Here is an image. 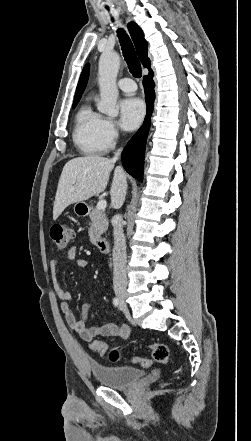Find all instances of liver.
I'll list each match as a JSON object with an SVG mask.
<instances>
[{"mask_svg": "<svg viewBox=\"0 0 251 441\" xmlns=\"http://www.w3.org/2000/svg\"><path fill=\"white\" fill-rule=\"evenodd\" d=\"M114 162L98 155H87L69 160L61 173L53 206L56 220L70 204L85 201L103 192L108 184ZM127 190L124 170L118 166L110 189L114 207L122 205Z\"/></svg>", "mask_w": 251, "mask_h": 441, "instance_id": "obj_1", "label": "liver"}]
</instances>
